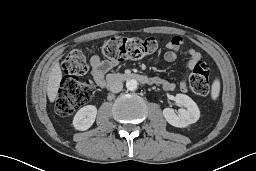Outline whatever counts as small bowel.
<instances>
[{"label":"small bowel","mask_w":256,"mask_h":171,"mask_svg":"<svg viewBox=\"0 0 256 171\" xmlns=\"http://www.w3.org/2000/svg\"><path fill=\"white\" fill-rule=\"evenodd\" d=\"M183 45V40L181 37H173L167 44V51L164 53V60L166 62H173L177 58V52ZM189 60L185 65V68L192 70L194 66L200 61L201 54L195 49L188 50ZM91 67V75L93 81L100 87L104 86L105 75L114 68L118 62L113 60H102L98 55H92L89 60ZM153 82L160 86L165 91H173L175 89V84L169 81L162 80L160 78H154ZM181 90H186V82L182 81L180 83Z\"/></svg>","instance_id":"small-bowel-1"}]
</instances>
